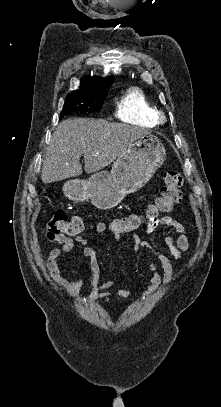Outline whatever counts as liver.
Returning <instances> with one entry per match:
<instances>
[{
    "mask_svg": "<svg viewBox=\"0 0 221 407\" xmlns=\"http://www.w3.org/2000/svg\"><path fill=\"white\" fill-rule=\"evenodd\" d=\"M149 134L144 128L104 119L73 118L59 123L52 134L43 161L41 178L52 183L99 171L114 162L129 145Z\"/></svg>",
    "mask_w": 221,
    "mask_h": 407,
    "instance_id": "1",
    "label": "liver"
}]
</instances>
